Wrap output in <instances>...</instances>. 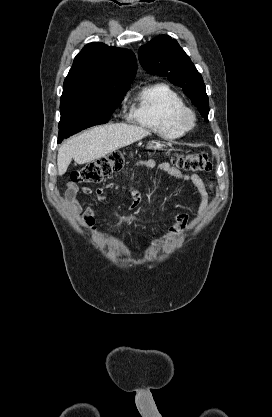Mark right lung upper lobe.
Wrapping results in <instances>:
<instances>
[{
    "instance_id": "right-lung-upper-lobe-1",
    "label": "right lung upper lobe",
    "mask_w": 272,
    "mask_h": 417,
    "mask_svg": "<svg viewBox=\"0 0 272 417\" xmlns=\"http://www.w3.org/2000/svg\"><path fill=\"white\" fill-rule=\"evenodd\" d=\"M135 54L101 42L87 44L76 55L63 86L61 100L128 89L135 78Z\"/></svg>"
}]
</instances>
